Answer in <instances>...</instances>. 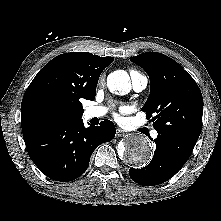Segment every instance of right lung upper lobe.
<instances>
[{
  "label": "right lung upper lobe",
  "instance_id": "cb5924a9",
  "mask_svg": "<svg viewBox=\"0 0 221 221\" xmlns=\"http://www.w3.org/2000/svg\"><path fill=\"white\" fill-rule=\"evenodd\" d=\"M113 57L88 52L61 54L48 62L27 88L21 103L22 132L80 120L82 99L93 100L101 72Z\"/></svg>",
  "mask_w": 221,
  "mask_h": 221
}]
</instances>
